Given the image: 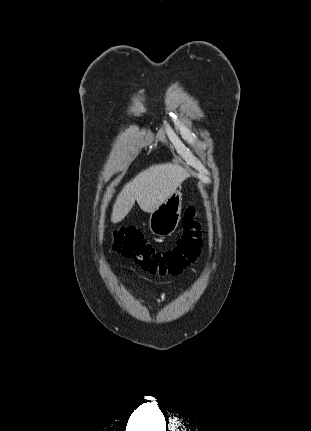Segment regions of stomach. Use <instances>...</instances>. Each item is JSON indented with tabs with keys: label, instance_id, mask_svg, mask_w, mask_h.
I'll use <instances>...</instances> for the list:
<instances>
[{
	"label": "stomach",
	"instance_id": "1",
	"mask_svg": "<svg viewBox=\"0 0 311 431\" xmlns=\"http://www.w3.org/2000/svg\"><path fill=\"white\" fill-rule=\"evenodd\" d=\"M182 202V192L176 190L159 208L150 212L149 229L154 235L166 237L177 229L181 219Z\"/></svg>",
	"mask_w": 311,
	"mask_h": 431
}]
</instances>
